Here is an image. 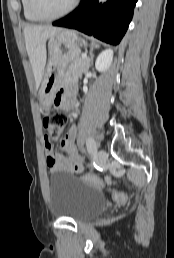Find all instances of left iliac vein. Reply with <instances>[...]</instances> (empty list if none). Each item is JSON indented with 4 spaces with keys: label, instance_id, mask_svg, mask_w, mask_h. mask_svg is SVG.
<instances>
[{
    "label": "left iliac vein",
    "instance_id": "1",
    "mask_svg": "<svg viewBox=\"0 0 174 258\" xmlns=\"http://www.w3.org/2000/svg\"><path fill=\"white\" fill-rule=\"evenodd\" d=\"M96 157H97V161L100 163V164H104L108 158V155L106 153V151L104 150H99L96 154Z\"/></svg>",
    "mask_w": 174,
    "mask_h": 258
}]
</instances>
